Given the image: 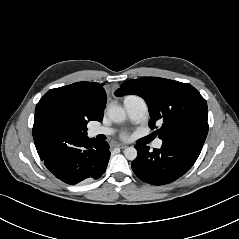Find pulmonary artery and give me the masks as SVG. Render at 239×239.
I'll return each instance as SVG.
<instances>
[{
  "label": "pulmonary artery",
  "instance_id": "obj_1",
  "mask_svg": "<svg viewBox=\"0 0 239 239\" xmlns=\"http://www.w3.org/2000/svg\"><path fill=\"white\" fill-rule=\"evenodd\" d=\"M124 109L128 115V118L135 122L139 123L144 121L148 116V106L144 99L136 95L127 96L123 101ZM114 133V130L106 126H96L92 127L89 130L91 136L97 135H111ZM162 145V140L157 139L154 142V147L159 148Z\"/></svg>",
  "mask_w": 239,
  "mask_h": 239
}]
</instances>
